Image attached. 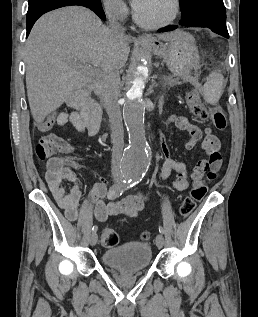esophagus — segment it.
<instances>
[{
    "instance_id": "1",
    "label": "esophagus",
    "mask_w": 258,
    "mask_h": 317,
    "mask_svg": "<svg viewBox=\"0 0 258 317\" xmlns=\"http://www.w3.org/2000/svg\"><path fill=\"white\" fill-rule=\"evenodd\" d=\"M148 38H151V36L144 34V35H139V36L137 37V40H146V39H148Z\"/></svg>"
}]
</instances>
